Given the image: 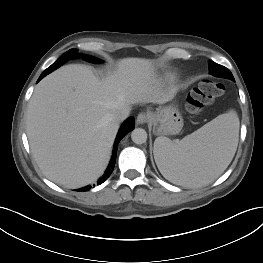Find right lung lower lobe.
Segmentation results:
<instances>
[{
	"mask_svg": "<svg viewBox=\"0 0 263 263\" xmlns=\"http://www.w3.org/2000/svg\"><path fill=\"white\" fill-rule=\"evenodd\" d=\"M66 61L62 60L61 58H59L55 63H53L50 67H48L39 77L38 81H40L43 77H45L47 74L51 73L52 71H54L55 69L59 68L62 64H64ZM135 126V121L133 118H129L127 119L122 127L120 128L116 141H115V147H114V151H113V156L112 159L110 161V164L107 168V170L105 171L104 175L99 179L98 184L103 183L112 173L114 166H115V161H116V155H117V145L119 143V141L130 131H132L134 129ZM91 188V186H86L83 188L78 189L77 191H87Z\"/></svg>",
	"mask_w": 263,
	"mask_h": 263,
	"instance_id": "obj_1",
	"label": "right lung lower lobe"
}]
</instances>
